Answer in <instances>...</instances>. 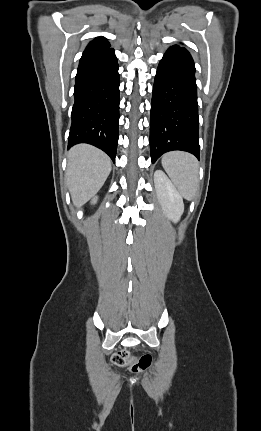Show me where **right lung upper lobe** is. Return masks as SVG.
Masks as SVG:
<instances>
[{
  "mask_svg": "<svg viewBox=\"0 0 261 431\" xmlns=\"http://www.w3.org/2000/svg\"><path fill=\"white\" fill-rule=\"evenodd\" d=\"M110 44L107 41L106 38L100 36V37H96L94 40H92L86 49H90V48H107L109 47Z\"/></svg>",
  "mask_w": 261,
  "mask_h": 431,
  "instance_id": "obj_1",
  "label": "right lung upper lobe"
}]
</instances>
